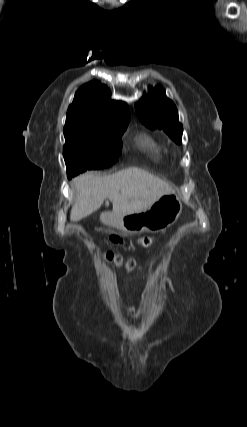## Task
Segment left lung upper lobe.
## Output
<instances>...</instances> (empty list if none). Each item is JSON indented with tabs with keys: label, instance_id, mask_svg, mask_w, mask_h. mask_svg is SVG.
Instances as JSON below:
<instances>
[{
	"label": "left lung upper lobe",
	"instance_id": "5c2ea615",
	"mask_svg": "<svg viewBox=\"0 0 247 427\" xmlns=\"http://www.w3.org/2000/svg\"><path fill=\"white\" fill-rule=\"evenodd\" d=\"M136 113L143 124L150 129H164L176 143H181L183 126L178 120V111L174 103L167 98L162 86L149 89L136 104Z\"/></svg>",
	"mask_w": 247,
	"mask_h": 427
}]
</instances>
